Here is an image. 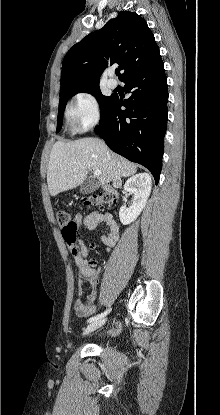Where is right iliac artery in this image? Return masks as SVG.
I'll return each instance as SVG.
<instances>
[{
	"instance_id": "82829eb1",
	"label": "right iliac artery",
	"mask_w": 220,
	"mask_h": 415,
	"mask_svg": "<svg viewBox=\"0 0 220 415\" xmlns=\"http://www.w3.org/2000/svg\"><path fill=\"white\" fill-rule=\"evenodd\" d=\"M110 311H111V308L107 309L106 311H104V312H103V313H101V314H98V315H96V316H94V317L89 318L87 322L91 323V322L97 321V320H99V319H102V318H103V317H105V316H106V315H107Z\"/></svg>"
}]
</instances>
